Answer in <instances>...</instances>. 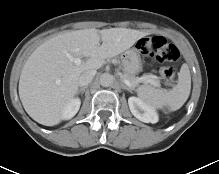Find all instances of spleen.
<instances>
[{
	"instance_id": "1",
	"label": "spleen",
	"mask_w": 219,
	"mask_h": 174,
	"mask_svg": "<svg viewBox=\"0 0 219 174\" xmlns=\"http://www.w3.org/2000/svg\"><path fill=\"white\" fill-rule=\"evenodd\" d=\"M191 90V76L187 64H183L178 74V84L171 90L155 88L151 85H141L136 89L138 97L147 105L155 109L164 106L170 111L178 110L189 97Z\"/></svg>"
}]
</instances>
